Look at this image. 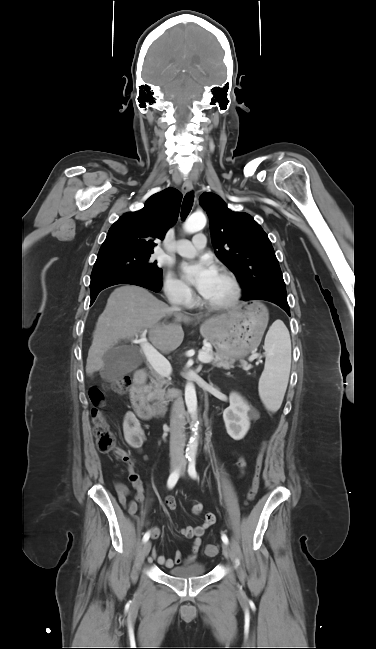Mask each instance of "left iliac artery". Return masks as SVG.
Returning a JSON list of instances; mask_svg holds the SVG:
<instances>
[{"instance_id": "44dca946", "label": "left iliac artery", "mask_w": 376, "mask_h": 649, "mask_svg": "<svg viewBox=\"0 0 376 649\" xmlns=\"http://www.w3.org/2000/svg\"><path fill=\"white\" fill-rule=\"evenodd\" d=\"M188 473L192 478H194V479L197 478V472H196V469H195V457L194 456L189 457ZM222 541L225 544H228V542H229L228 537L225 534H222Z\"/></svg>"}]
</instances>
